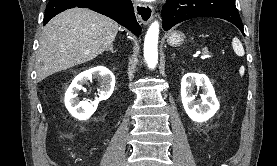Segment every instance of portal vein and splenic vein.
I'll list each match as a JSON object with an SVG mask.
<instances>
[{
	"label": "portal vein and splenic vein",
	"instance_id": "18ae733b",
	"mask_svg": "<svg viewBox=\"0 0 277 166\" xmlns=\"http://www.w3.org/2000/svg\"><path fill=\"white\" fill-rule=\"evenodd\" d=\"M211 57H212V55L209 54L208 52L207 53H203V55L201 56L202 59H209Z\"/></svg>",
	"mask_w": 277,
	"mask_h": 166
}]
</instances>
